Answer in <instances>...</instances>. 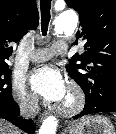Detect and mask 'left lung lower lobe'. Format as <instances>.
Segmentation results:
<instances>
[{
    "label": "left lung lower lobe",
    "instance_id": "left-lung-lower-lobe-1",
    "mask_svg": "<svg viewBox=\"0 0 116 134\" xmlns=\"http://www.w3.org/2000/svg\"><path fill=\"white\" fill-rule=\"evenodd\" d=\"M100 112H116V98H101L96 100L86 101L83 111L74 116V119L78 117L95 114Z\"/></svg>",
    "mask_w": 116,
    "mask_h": 134
}]
</instances>
